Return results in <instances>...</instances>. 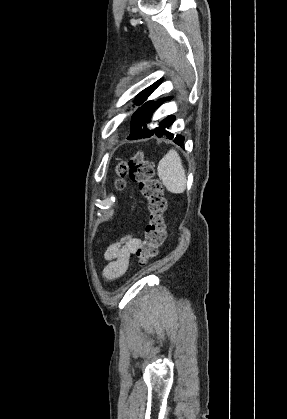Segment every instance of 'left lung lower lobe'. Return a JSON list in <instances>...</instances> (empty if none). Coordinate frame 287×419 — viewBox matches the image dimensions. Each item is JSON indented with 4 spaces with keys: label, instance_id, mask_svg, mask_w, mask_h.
<instances>
[{
    "label": "left lung lower lobe",
    "instance_id": "left-lung-lower-lobe-1",
    "mask_svg": "<svg viewBox=\"0 0 287 419\" xmlns=\"http://www.w3.org/2000/svg\"><path fill=\"white\" fill-rule=\"evenodd\" d=\"M170 98L158 100V101H149L143 104L132 116L130 135L127 137L128 140H136L141 138H148L151 136L158 137H167L169 139H174L173 141L182 146L184 143V137L181 135H174L168 132L166 129L169 128L174 120L175 116L169 115L164 120H162L158 127L154 129H148L147 123L151 122V116L153 112L165 101Z\"/></svg>",
    "mask_w": 287,
    "mask_h": 419
}]
</instances>
